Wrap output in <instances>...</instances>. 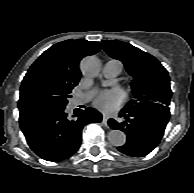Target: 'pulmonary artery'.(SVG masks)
<instances>
[{"instance_id": "obj_1", "label": "pulmonary artery", "mask_w": 194, "mask_h": 193, "mask_svg": "<svg viewBox=\"0 0 194 193\" xmlns=\"http://www.w3.org/2000/svg\"><path fill=\"white\" fill-rule=\"evenodd\" d=\"M123 69L122 63L118 60H109L105 63L103 68V76L107 79H112L118 76ZM92 92H88L81 97H78L75 102L76 104H80L85 102L88 98H90Z\"/></svg>"}]
</instances>
